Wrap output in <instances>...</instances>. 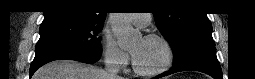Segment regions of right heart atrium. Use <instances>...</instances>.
<instances>
[{"instance_id": "right-heart-atrium-1", "label": "right heart atrium", "mask_w": 255, "mask_h": 79, "mask_svg": "<svg viewBox=\"0 0 255 79\" xmlns=\"http://www.w3.org/2000/svg\"><path fill=\"white\" fill-rule=\"evenodd\" d=\"M104 54L106 61L122 70L125 69L129 64V56L126 52H124L116 43V41L112 38L105 39V48Z\"/></svg>"}]
</instances>
